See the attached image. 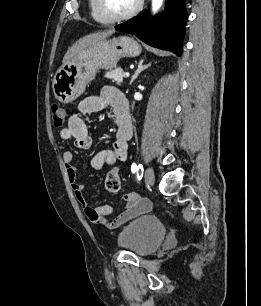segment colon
Returning <instances> with one entry per match:
<instances>
[{"label": "colon", "mask_w": 261, "mask_h": 306, "mask_svg": "<svg viewBox=\"0 0 261 306\" xmlns=\"http://www.w3.org/2000/svg\"><path fill=\"white\" fill-rule=\"evenodd\" d=\"M53 121L56 127L63 125L66 113L64 108L59 104L52 106ZM105 187L110 193H118L121 187L120 174L117 168L111 169L105 179Z\"/></svg>", "instance_id": "5ec220e1"}]
</instances>
